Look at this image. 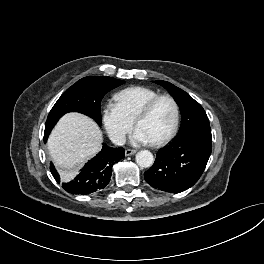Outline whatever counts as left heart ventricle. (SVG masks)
<instances>
[{"instance_id":"b2bd125f","label":"left heart ventricle","mask_w":264,"mask_h":264,"mask_svg":"<svg viewBox=\"0 0 264 264\" xmlns=\"http://www.w3.org/2000/svg\"><path fill=\"white\" fill-rule=\"evenodd\" d=\"M174 121V107L168 99L160 100L151 113L142 119L137 127L152 141L164 137L171 129Z\"/></svg>"}]
</instances>
